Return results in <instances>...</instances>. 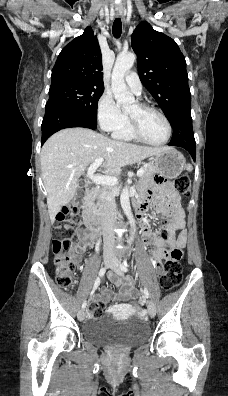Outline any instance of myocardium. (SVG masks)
<instances>
[{"label":"myocardium","mask_w":228,"mask_h":396,"mask_svg":"<svg viewBox=\"0 0 228 396\" xmlns=\"http://www.w3.org/2000/svg\"><path fill=\"white\" fill-rule=\"evenodd\" d=\"M138 105H139V107L142 110L152 111V112H155L156 114H158L163 119V121H164V123L166 125L167 134H166V137H165V139L163 141L156 142V143L155 142H151V141L147 140L142 135V133L139 130V128H138L137 124L135 123V121L129 116V127H130V130H131V133L133 134V136L136 139H138L139 141H141V142H143V143H145L147 145L157 146V147L166 145L170 141V139L172 137V126H171V123H170L168 117L159 108H157V107H155L153 105H150V104H147V103H138Z\"/></svg>","instance_id":"myocardium-1"}]
</instances>
